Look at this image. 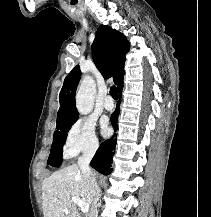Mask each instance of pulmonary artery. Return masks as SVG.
<instances>
[{
	"label": "pulmonary artery",
	"mask_w": 211,
	"mask_h": 217,
	"mask_svg": "<svg viewBox=\"0 0 211 217\" xmlns=\"http://www.w3.org/2000/svg\"><path fill=\"white\" fill-rule=\"evenodd\" d=\"M103 106L107 111H111L114 109V102L110 96H107L105 98Z\"/></svg>",
	"instance_id": "1"
}]
</instances>
